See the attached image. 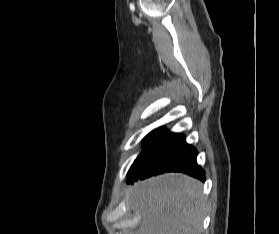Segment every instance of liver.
<instances>
[{
  "label": "liver",
  "mask_w": 279,
  "mask_h": 234,
  "mask_svg": "<svg viewBox=\"0 0 279 234\" xmlns=\"http://www.w3.org/2000/svg\"><path fill=\"white\" fill-rule=\"evenodd\" d=\"M199 181L167 173L136 182L128 205L142 217L136 234H201L205 199Z\"/></svg>",
  "instance_id": "obj_1"
}]
</instances>
